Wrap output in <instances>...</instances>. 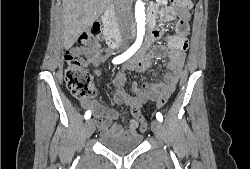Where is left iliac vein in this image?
I'll return each mask as SVG.
<instances>
[{"instance_id": "obj_1", "label": "left iliac vein", "mask_w": 250, "mask_h": 169, "mask_svg": "<svg viewBox=\"0 0 250 169\" xmlns=\"http://www.w3.org/2000/svg\"><path fill=\"white\" fill-rule=\"evenodd\" d=\"M151 128L154 132L155 137L158 140L160 147H163L164 140H165V132L163 125L158 120H152Z\"/></svg>"}]
</instances>
